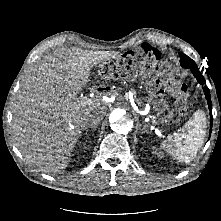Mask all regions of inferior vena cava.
<instances>
[{"label": "inferior vena cava", "mask_w": 221, "mask_h": 221, "mask_svg": "<svg viewBox=\"0 0 221 221\" xmlns=\"http://www.w3.org/2000/svg\"><path fill=\"white\" fill-rule=\"evenodd\" d=\"M102 119L103 116L100 114L92 115L90 118L89 126H97Z\"/></svg>", "instance_id": "602c4592"}]
</instances>
